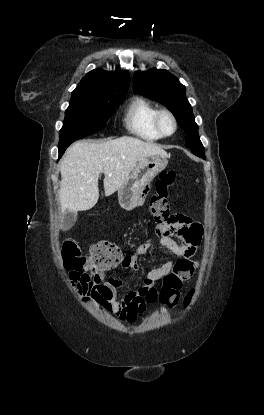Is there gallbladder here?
<instances>
[{"label":"gallbladder","mask_w":264,"mask_h":415,"mask_svg":"<svg viewBox=\"0 0 264 415\" xmlns=\"http://www.w3.org/2000/svg\"><path fill=\"white\" fill-rule=\"evenodd\" d=\"M76 220V212H66V214L64 215L63 228L70 229L75 224Z\"/></svg>","instance_id":"1"}]
</instances>
